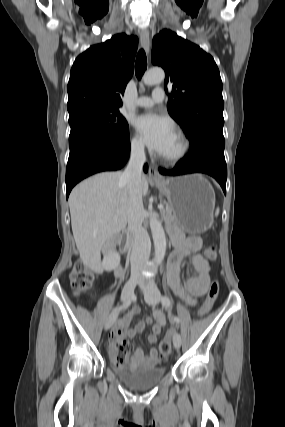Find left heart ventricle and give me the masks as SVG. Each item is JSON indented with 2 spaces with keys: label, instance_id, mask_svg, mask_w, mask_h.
Instances as JSON below:
<instances>
[{
  "label": "left heart ventricle",
  "instance_id": "b2bd125f",
  "mask_svg": "<svg viewBox=\"0 0 285 427\" xmlns=\"http://www.w3.org/2000/svg\"><path fill=\"white\" fill-rule=\"evenodd\" d=\"M180 149V141L175 133L171 136L164 149L159 153L163 156H171L176 154Z\"/></svg>",
  "mask_w": 285,
  "mask_h": 427
}]
</instances>
